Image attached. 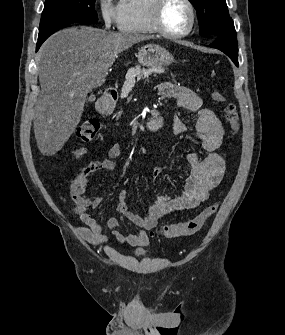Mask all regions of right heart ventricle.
Wrapping results in <instances>:
<instances>
[{
    "label": "right heart ventricle",
    "instance_id": "1",
    "mask_svg": "<svg viewBox=\"0 0 285 335\" xmlns=\"http://www.w3.org/2000/svg\"><path fill=\"white\" fill-rule=\"evenodd\" d=\"M128 6L132 15L122 22L123 29L137 34L157 32L154 24V1H129Z\"/></svg>",
    "mask_w": 285,
    "mask_h": 335
}]
</instances>
